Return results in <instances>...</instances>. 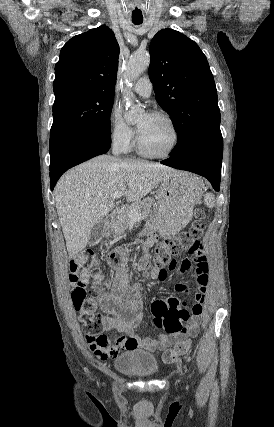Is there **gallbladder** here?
Here are the masks:
<instances>
[{"label": "gallbladder", "instance_id": "obj_1", "mask_svg": "<svg viewBox=\"0 0 274 427\" xmlns=\"http://www.w3.org/2000/svg\"><path fill=\"white\" fill-rule=\"evenodd\" d=\"M103 231H104V223L102 219V221H99V223H97V225H94V227H92L91 229L90 239H89L90 245H96L97 241H100L103 235Z\"/></svg>", "mask_w": 274, "mask_h": 427}]
</instances>
